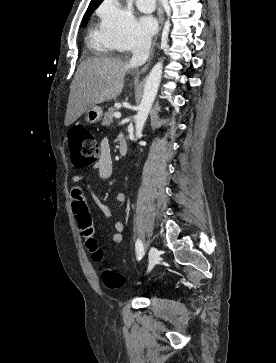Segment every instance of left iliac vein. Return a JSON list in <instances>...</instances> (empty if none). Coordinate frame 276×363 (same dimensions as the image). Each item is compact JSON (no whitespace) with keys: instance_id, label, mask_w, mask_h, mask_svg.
<instances>
[{"instance_id":"1","label":"left iliac vein","mask_w":276,"mask_h":363,"mask_svg":"<svg viewBox=\"0 0 276 363\" xmlns=\"http://www.w3.org/2000/svg\"><path fill=\"white\" fill-rule=\"evenodd\" d=\"M159 260V252L155 247H151L149 250V266L148 270H151Z\"/></svg>"}]
</instances>
